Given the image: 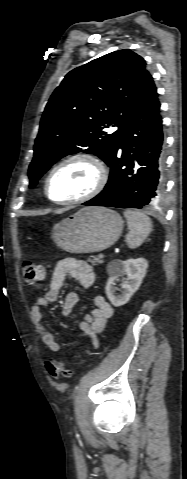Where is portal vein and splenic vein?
I'll use <instances>...</instances> for the list:
<instances>
[{"mask_svg": "<svg viewBox=\"0 0 187 479\" xmlns=\"http://www.w3.org/2000/svg\"><path fill=\"white\" fill-rule=\"evenodd\" d=\"M99 257L103 258V257H104V254H103V253H100V254H99Z\"/></svg>", "mask_w": 187, "mask_h": 479, "instance_id": "1", "label": "portal vein and splenic vein"}]
</instances>
